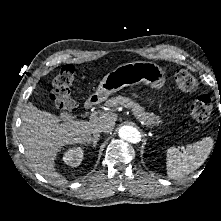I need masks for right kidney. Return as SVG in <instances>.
<instances>
[{
	"instance_id": "1",
	"label": "right kidney",
	"mask_w": 221,
	"mask_h": 221,
	"mask_svg": "<svg viewBox=\"0 0 221 221\" xmlns=\"http://www.w3.org/2000/svg\"><path fill=\"white\" fill-rule=\"evenodd\" d=\"M83 160V149L81 147L69 149L63 157V161L71 166L77 167L81 164Z\"/></svg>"
}]
</instances>
